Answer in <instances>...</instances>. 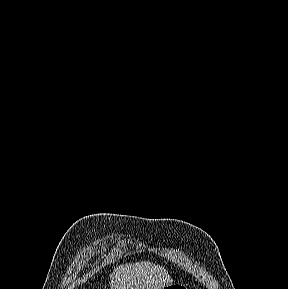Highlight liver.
I'll return each instance as SVG.
<instances>
[{"instance_id": "1", "label": "liver", "mask_w": 288, "mask_h": 289, "mask_svg": "<svg viewBox=\"0 0 288 289\" xmlns=\"http://www.w3.org/2000/svg\"><path fill=\"white\" fill-rule=\"evenodd\" d=\"M110 277L111 289H164L173 284L165 268L145 261L120 265Z\"/></svg>"}]
</instances>
